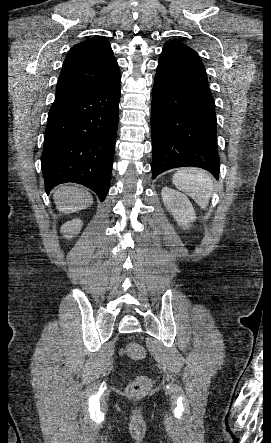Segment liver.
Listing matches in <instances>:
<instances>
[{
    "label": "liver",
    "instance_id": "6515ba94",
    "mask_svg": "<svg viewBox=\"0 0 271 443\" xmlns=\"http://www.w3.org/2000/svg\"><path fill=\"white\" fill-rule=\"evenodd\" d=\"M56 210L62 214H72L78 210H84L93 204V198L87 190L73 188V186H61L53 194Z\"/></svg>",
    "mask_w": 271,
    "mask_h": 443
}]
</instances>
